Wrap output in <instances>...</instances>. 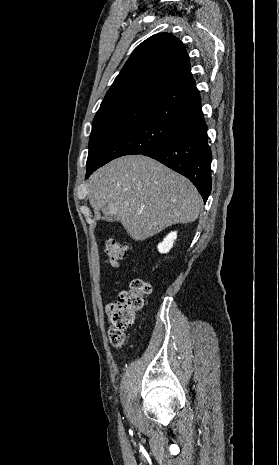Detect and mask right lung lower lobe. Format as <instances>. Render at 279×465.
<instances>
[{
  "label": "right lung lower lobe",
  "mask_w": 279,
  "mask_h": 465,
  "mask_svg": "<svg viewBox=\"0 0 279 465\" xmlns=\"http://www.w3.org/2000/svg\"><path fill=\"white\" fill-rule=\"evenodd\" d=\"M142 155L158 160L187 177L207 201L211 192V149L201 108L182 118L171 135ZM93 168L87 171L89 177Z\"/></svg>",
  "instance_id": "98d812e1"
}]
</instances>
